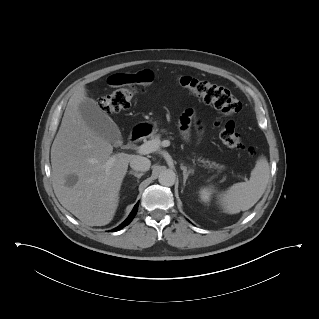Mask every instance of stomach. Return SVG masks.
<instances>
[{
	"label": "stomach",
	"instance_id": "obj_1",
	"mask_svg": "<svg viewBox=\"0 0 319 319\" xmlns=\"http://www.w3.org/2000/svg\"><path fill=\"white\" fill-rule=\"evenodd\" d=\"M153 124H154V127L156 128L157 127V122L155 121V122H153Z\"/></svg>",
	"mask_w": 319,
	"mask_h": 319
}]
</instances>
